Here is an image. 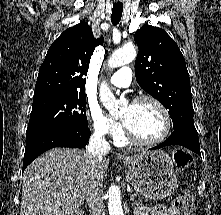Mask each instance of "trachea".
Returning a JSON list of instances; mask_svg holds the SVG:
<instances>
[{
	"label": "trachea",
	"mask_w": 221,
	"mask_h": 215,
	"mask_svg": "<svg viewBox=\"0 0 221 215\" xmlns=\"http://www.w3.org/2000/svg\"><path fill=\"white\" fill-rule=\"evenodd\" d=\"M123 5L121 3L114 4L111 15V22L113 25H117L122 17Z\"/></svg>",
	"instance_id": "trachea-1"
}]
</instances>
